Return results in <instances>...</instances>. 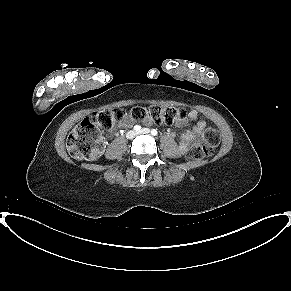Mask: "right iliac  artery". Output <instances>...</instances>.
<instances>
[{
    "label": "right iliac artery",
    "instance_id": "82829eb1",
    "mask_svg": "<svg viewBox=\"0 0 291 291\" xmlns=\"http://www.w3.org/2000/svg\"><path fill=\"white\" fill-rule=\"evenodd\" d=\"M140 129H141V126H140V125H135V126H134V130H135V131H140Z\"/></svg>",
    "mask_w": 291,
    "mask_h": 291
}]
</instances>
